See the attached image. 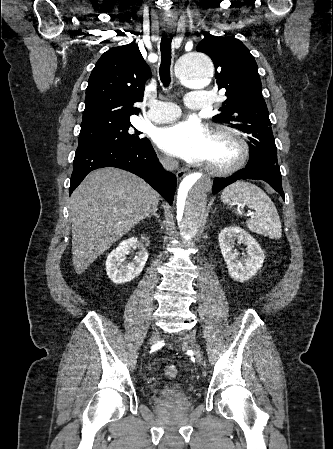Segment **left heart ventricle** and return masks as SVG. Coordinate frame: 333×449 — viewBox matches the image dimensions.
Instances as JSON below:
<instances>
[{"label":"left heart ventricle","mask_w":333,"mask_h":449,"mask_svg":"<svg viewBox=\"0 0 333 449\" xmlns=\"http://www.w3.org/2000/svg\"><path fill=\"white\" fill-rule=\"evenodd\" d=\"M233 157L234 148L230 143L224 140H216L212 137L210 138L208 151L204 159L205 162L212 164H225Z\"/></svg>","instance_id":"left-heart-ventricle-1"}]
</instances>
